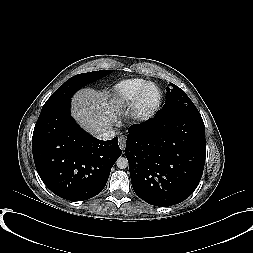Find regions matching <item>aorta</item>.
Returning <instances> with one entry per match:
<instances>
[{
  "label": "aorta",
  "mask_w": 253,
  "mask_h": 253,
  "mask_svg": "<svg viewBox=\"0 0 253 253\" xmlns=\"http://www.w3.org/2000/svg\"><path fill=\"white\" fill-rule=\"evenodd\" d=\"M116 165L119 169H125L128 167L129 163L126 157H119L116 161Z\"/></svg>",
  "instance_id": "obj_1"
}]
</instances>
